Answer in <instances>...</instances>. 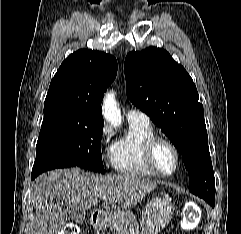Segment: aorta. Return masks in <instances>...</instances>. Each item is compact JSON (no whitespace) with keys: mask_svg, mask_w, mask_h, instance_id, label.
I'll use <instances>...</instances> for the list:
<instances>
[{"mask_svg":"<svg viewBox=\"0 0 241 234\" xmlns=\"http://www.w3.org/2000/svg\"><path fill=\"white\" fill-rule=\"evenodd\" d=\"M103 116L114 126H120L122 122L121 112L118 108L113 92H108L103 100Z\"/></svg>","mask_w":241,"mask_h":234,"instance_id":"obj_1","label":"aorta"}]
</instances>
